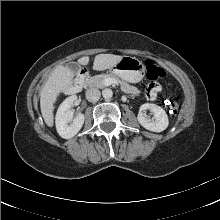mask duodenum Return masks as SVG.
<instances>
[{"mask_svg": "<svg viewBox=\"0 0 220 220\" xmlns=\"http://www.w3.org/2000/svg\"><path fill=\"white\" fill-rule=\"evenodd\" d=\"M87 75L88 70L86 68H82L78 75L75 77V79L68 86L67 92L77 93L78 91H80L84 85Z\"/></svg>", "mask_w": 220, "mask_h": 220, "instance_id": "410a0bca", "label": "duodenum"}]
</instances>
